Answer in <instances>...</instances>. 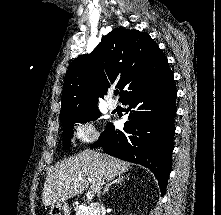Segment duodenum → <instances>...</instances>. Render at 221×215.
Here are the masks:
<instances>
[{
  "mask_svg": "<svg viewBox=\"0 0 221 215\" xmlns=\"http://www.w3.org/2000/svg\"><path fill=\"white\" fill-rule=\"evenodd\" d=\"M91 209L95 212H98L99 208L96 204H91Z\"/></svg>",
  "mask_w": 221,
  "mask_h": 215,
  "instance_id": "duodenum-1",
  "label": "duodenum"
}]
</instances>
